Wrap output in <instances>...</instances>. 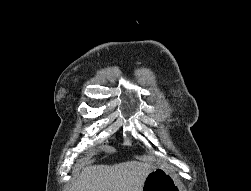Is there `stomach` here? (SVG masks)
I'll list each match as a JSON object with an SVG mask.
<instances>
[{
	"label": "stomach",
	"instance_id": "obj_1",
	"mask_svg": "<svg viewBox=\"0 0 251 191\" xmlns=\"http://www.w3.org/2000/svg\"><path fill=\"white\" fill-rule=\"evenodd\" d=\"M143 191H179L174 175L168 173L164 167H155L147 173Z\"/></svg>",
	"mask_w": 251,
	"mask_h": 191
}]
</instances>
